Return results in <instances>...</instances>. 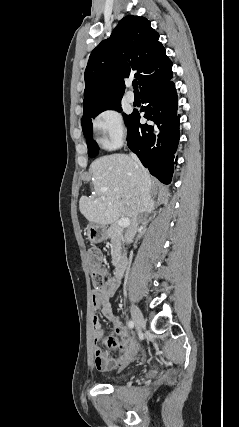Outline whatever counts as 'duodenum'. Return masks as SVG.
Here are the masks:
<instances>
[{
	"mask_svg": "<svg viewBox=\"0 0 239 427\" xmlns=\"http://www.w3.org/2000/svg\"><path fill=\"white\" fill-rule=\"evenodd\" d=\"M127 264H128V257L123 253L119 254L114 264V275L116 278H120L123 275L127 267Z\"/></svg>",
	"mask_w": 239,
	"mask_h": 427,
	"instance_id": "duodenum-1",
	"label": "duodenum"
}]
</instances>
